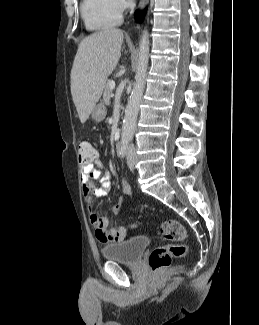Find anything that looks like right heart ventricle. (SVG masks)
<instances>
[{
    "label": "right heart ventricle",
    "instance_id": "e07e8e85",
    "mask_svg": "<svg viewBox=\"0 0 259 325\" xmlns=\"http://www.w3.org/2000/svg\"><path fill=\"white\" fill-rule=\"evenodd\" d=\"M80 12L85 27L91 31L106 30L121 22V13L112 0H81Z\"/></svg>",
    "mask_w": 259,
    "mask_h": 325
}]
</instances>
